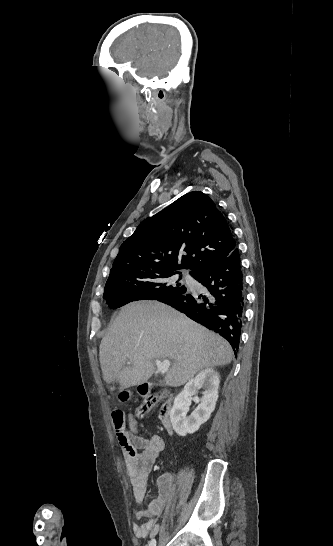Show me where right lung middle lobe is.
Here are the masks:
<instances>
[{"instance_id":"right-lung-middle-lobe-1","label":"right lung middle lobe","mask_w":333,"mask_h":546,"mask_svg":"<svg viewBox=\"0 0 333 546\" xmlns=\"http://www.w3.org/2000/svg\"><path fill=\"white\" fill-rule=\"evenodd\" d=\"M171 271H149L139 268H118L110 271L103 298L110 308L116 309L136 300H158L164 296L183 295L186 287L171 284L167 278L177 274Z\"/></svg>"}]
</instances>
